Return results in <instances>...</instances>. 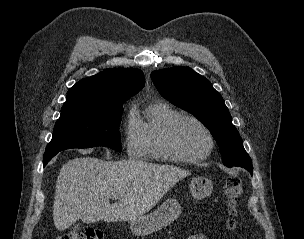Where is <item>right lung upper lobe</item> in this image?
Listing matches in <instances>:
<instances>
[{"mask_svg":"<svg viewBox=\"0 0 304 239\" xmlns=\"http://www.w3.org/2000/svg\"><path fill=\"white\" fill-rule=\"evenodd\" d=\"M144 84V75L139 69H106L80 80L70 88L61 112L122 106Z\"/></svg>","mask_w":304,"mask_h":239,"instance_id":"right-lung-upper-lobe-1","label":"right lung upper lobe"}]
</instances>
